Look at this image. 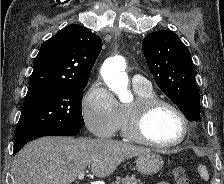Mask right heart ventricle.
<instances>
[{
  "mask_svg": "<svg viewBox=\"0 0 224 184\" xmlns=\"http://www.w3.org/2000/svg\"><path fill=\"white\" fill-rule=\"evenodd\" d=\"M134 91L137 96L136 101L141 100V99L155 97V94H154L152 88L143 89V88L134 87ZM130 106H131L130 104L120 105V118H119L118 129L121 131V133L124 137H127L126 124H127V118H128V112H129Z\"/></svg>",
  "mask_w": 224,
  "mask_h": 184,
  "instance_id": "1",
  "label": "right heart ventricle"
}]
</instances>
